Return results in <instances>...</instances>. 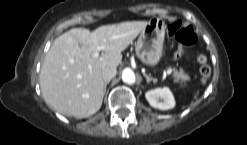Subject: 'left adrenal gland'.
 Listing matches in <instances>:
<instances>
[{"label": "left adrenal gland", "instance_id": "left-adrenal-gland-1", "mask_svg": "<svg viewBox=\"0 0 247 145\" xmlns=\"http://www.w3.org/2000/svg\"><path fill=\"white\" fill-rule=\"evenodd\" d=\"M144 75V77L146 78V80H147V83H149L150 81H153L154 83H156L157 82V80L156 79H154V78H152V77H150V76H148L147 74H143Z\"/></svg>", "mask_w": 247, "mask_h": 145}]
</instances>
